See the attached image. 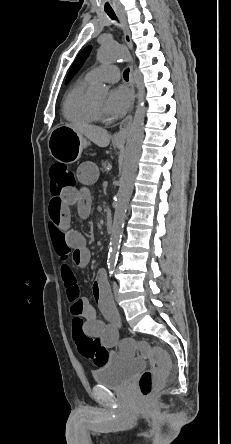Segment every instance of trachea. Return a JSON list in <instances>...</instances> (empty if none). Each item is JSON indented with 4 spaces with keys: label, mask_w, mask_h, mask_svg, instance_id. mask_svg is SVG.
I'll list each match as a JSON object with an SVG mask.
<instances>
[{
    "label": "trachea",
    "mask_w": 231,
    "mask_h": 444,
    "mask_svg": "<svg viewBox=\"0 0 231 444\" xmlns=\"http://www.w3.org/2000/svg\"><path fill=\"white\" fill-rule=\"evenodd\" d=\"M106 13L108 14V16H109L111 19H114V20L117 19L116 16H115L114 11H112V10H106ZM123 77H124L125 80H128V78H129V69H126V70L124 71V73H123Z\"/></svg>",
    "instance_id": "1"
}]
</instances>
